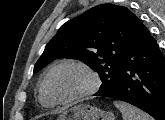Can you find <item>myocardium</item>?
<instances>
[{"label":"myocardium","instance_id":"myocardium-1","mask_svg":"<svg viewBox=\"0 0 165 120\" xmlns=\"http://www.w3.org/2000/svg\"><path fill=\"white\" fill-rule=\"evenodd\" d=\"M66 66L77 67V68L81 69L82 71H84L90 79V84L85 90L81 91L80 93H78L70 98L60 99V98H57L52 93L49 82H50V78H51L52 74L56 70H58L62 67H66ZM100 83L101 82H100V78H99L98 74L88 64H86L82 61H79V60H72V59L63 60V61H60L57 64L53 65L49 69V71L47 72V74L43 80L45 92L54 104H70V103L82 100L84 98H87V97L95 94L98 91V89L100 87Z\"/></svg>","mask_w":165,"mask_h":120}]
</instances>
